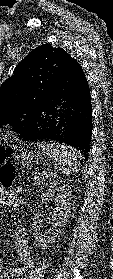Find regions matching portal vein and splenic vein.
Instances as JSON below:
<instances>
[{
  "label": "portal vein and splenic vein",
  "mask_w": 113,
  "mask_h": 279,
  "mask_svg": "<svg viewBox=\"0 0 113 279\" xmlns=\"http://www.w3.org/2000/svg\"><path fill=\"white\" fill-rule=\"evenodd\" d=\"M47 177L50 178V175L48 174Z\"/></svg>",
  "instance_id": "obj_1"
}]
</instances>
